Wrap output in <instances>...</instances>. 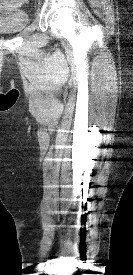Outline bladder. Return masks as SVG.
<instances>
[{"instance_id":"1","label":"bladder","mask_w":133,"mask_h":275,"mask_svg":"<svg viewBox=\"0 0 133 275\" xmlns=\"http://www.w3.org/2000/svg\"><path fill=\"white\" fill-rule=\"evenodd\" d=\"M30 21L29 12L19 6L3 5L0 2V32L22 31Z\"/></svg>"}]
</instances>
